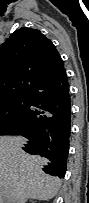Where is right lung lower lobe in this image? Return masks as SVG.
Listing matches in <instances>:
<instances>
[{"mask_svg": "<svg viewBox=\"0 0 89 203\" xmlns=\"http://www.w3.org/2000/svg\"><path fill=\"white\" fill-rule=\"evenodd\" d=\"M56 67L30 90L29 110L9 134L27 138L22 149L44 157L42 171L61 178L69 152L71 100L64 66Z\"/></svg>", "mask_w": 89, "mask_h": 203, "instance_id": "1", "label": "right lung lower lobe"}]
</instances>
